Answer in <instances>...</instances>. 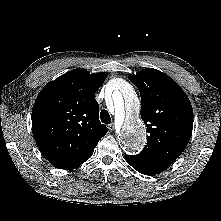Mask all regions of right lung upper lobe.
<instances>
[{
	"mask_svg": "<svg viewBox=\"0 0 221 221\" xmlns=\"http://www.w3.org/2000/svg\"><path fill=\"white\" fill-rule=\"evenodd\" d=\"M107 73L71 70L48 83L32 109V130L39 149L59 169L94 151L108 131L99 120L95 99Z\"/></svg>",
	"mask_w": 221,
	"mask_h": 221,
	"instance_id": "cb5924a9",
	"label": "right lung upper lobe"
}]
</instances>
